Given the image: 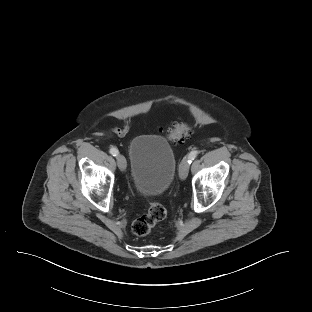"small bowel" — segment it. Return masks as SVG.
<instances>
[{
	"mask_svg": "<svg viewBox=\"0 0 312 312\" xmlns=\"http://www.w3.org/2000/svg\"><path fill=\"white\" fill-rule=\"evenodd\" d=\"M109 132L118 136H125L128 131L129 127L127 125H123L121 127L111 126L109 127Z\"/></svg>",
	"mask_w": 312,
	"mask_h": 312,
	"instance_id": "small-bowel-1",
	"label": "small bowel"
}]
</instances>
